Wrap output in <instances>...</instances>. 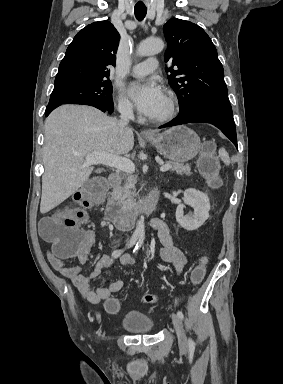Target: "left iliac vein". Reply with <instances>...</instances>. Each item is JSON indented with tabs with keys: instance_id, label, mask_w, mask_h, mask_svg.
Listing matches in <instances>:
<instances>
[{
	"instance_id": "1",
	"label": "left iliac vein",
	"mask_w": 283,
	"mask_h": 384,
	"mask_svg": "<svg viewBox=\"0 0 283 384\" xmlns=\"http://www.w3.org/2000/svg\"><path fill=\"white\" fill-rule=\"evenodd\" d=\"M172 322L177 333L179 347L182 351H186L188 349V340L183 329L182 321L178 315L172 314Z\"/></svg>"
}]
</instances>
